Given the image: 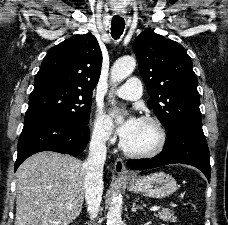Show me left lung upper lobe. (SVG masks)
Returning a JSON list of instances; mask_svg holds the SVG:
<instances>
[{"label":"left lung upper lobe","mask_w":228,"mask_h":225,"mask_svg":"<svg viewBox=\"0 0 228 225\" xmlns=\"http://www.w3.org/2000/svg\"><path fill=\"white\" fill-rule=\"evenodd\" d=\"M133 50L151 97L147 104L167 132L180 125L202 127L197 77L183 46L146 29Z\"/></svg>","instance_id":"left-lung-upper-lobe-1"}]
</instances>
